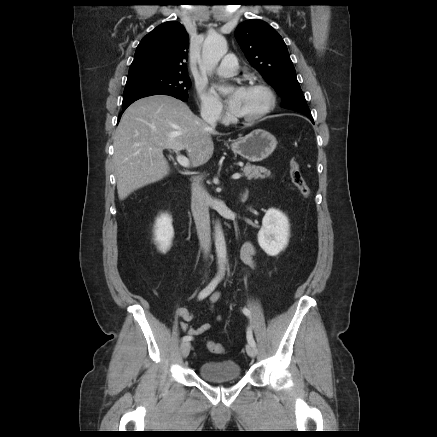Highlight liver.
Segmentation results:
<instances>
[{"label": "liver", "mask_w": 437, "mask_h": 437, "mask_svg": "<svg viewBox=\"0 0 437 437\" xmlns=\"http://www.w3.org/2000/svg\"><path fill=\"white\" fill-rule=\"evenodd\" d=\"M215 134L214 128L173 97L154 95L132 103L114 138L112 162L119 199L169 174L164 149L186 150L193 167L208 162Z\"/></svg>", "instance_id": "1"}]
</instances>
